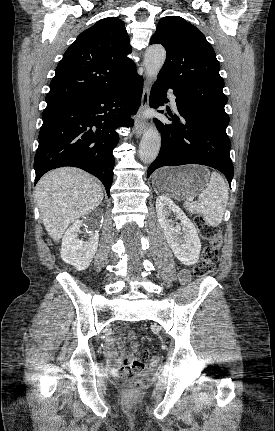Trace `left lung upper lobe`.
Here are the masks:
<instances>
[{"mask_svg": "<svg viewBox=\"0 0 275 431\" xmlns=\"http://www.w3.org/2000/svg\"><path fill=\"white\" fill-rule=\"evenodd\" d=\"M154 43L163 45L167 52L158 79L166 80L185 105L229 122L220 64L205 36L182 17L166 16L150 40Z\"/></svg>", "mask_w": 275, "mask_h": 431, "instance_id": "1", "label": "left lung upper lobe"}]
</instances>
